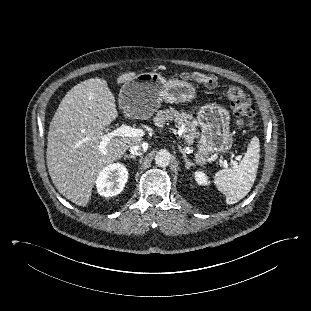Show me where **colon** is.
<instances>
[{"instance_id": "5ec220e1", "label": "colon", "mask_w": 311, "mask_h": 311, "mask_svg": "<svg viewBox=\"0 0 311 311\" xmlns=\"http://www.w3.org/2000/svg\"><path fill=\"white\" fill-rule=\"evenodd\" d=\"M184 78L208 88H215L218 85L216 76L201 72L185 74ZM227 96L233 108L236 127L239 129L254 128L255 107L250 96L238 86H231L227 91Z\"/></svg>"}]
</instances>
